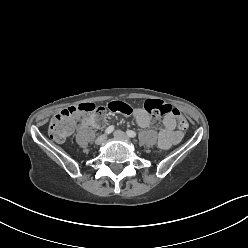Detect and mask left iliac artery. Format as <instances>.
Wrapping results in <instances>:
<instances>
[{
  "instance_id": "left-iliac-artery-1",
  "label": "left iliac artery",
  "mask_w": 248,
  "mask_h": 248,
  "mask_svg": "<svg viewBox=\"0 0 248 248\" xmlns=\"http://www.w3.org/2000/svg\"><path fill=\"white\" fill-rule=\"evenodd\" d=\"M126 133H127V135H128L129 137H135V136H136V132H134V131H132V130H127Z\"/></svg>"
}]
</instances>
